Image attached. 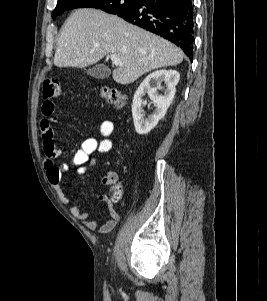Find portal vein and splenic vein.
Here are the masks:
<instances>
[{
    "mask_svg": "<svg viewBox=\"0 0 267 301\" xmlns=\"http://www.w3.org/2000/svg\"><path fill=\"white\" fill-rule=\"evenodd\" d=\"M110 59L116 65H123L122 61L120 59H118L116 55L111 54Z\"/></svg>",
    "mask_w": 267,
    "mask_h": 301,
    "instance_id": "18ae733b",
    "label": "portal vein and splenic vein"
}]
</instances>
